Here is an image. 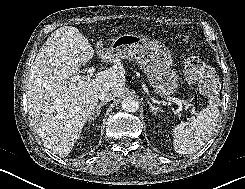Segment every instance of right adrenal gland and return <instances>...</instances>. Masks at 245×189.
Here are the masks:
<instances>
[{
	"label": "right adrenal gland",
	"instance_id": "obj_1",
	"mask_svg": "<svg viewBox=\"0 0 245 189\" xmlns=\"http://www.w3.org/2000/svg\"><path fill=\"white\" fill-rule=\"evenodd\" d=\"M106 104H107L106 102L99 103L98 106L90 114V116H91L90 120H95L100 115V109H101V107L104 106V105H106Z\"/></svg>",
	"mask_w": 245,
	"mask_h": 189
}]
</instances>
